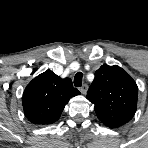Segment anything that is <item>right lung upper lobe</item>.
<instances>
[{
    "label": "right lung upper lobe",
    "instance_id": "1",
    "mask_svg": "<svg viewBox=\"0 0 148 148\" xmlns=\"http://www.w3.org/2000/svg\"><path fill=\"white\" fill-rule=\"evenodd\" d=\"M80 94L69 78L61 79L47 70L34 78L23 93V109L30 122L37 125L57 121L69 99Z\"/></svg>",
    "mask_w": 148,
    "mask_h": 148
}]
</instances>
